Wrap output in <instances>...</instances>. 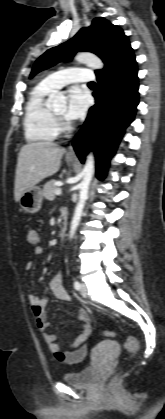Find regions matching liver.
Here are the masks:
<instances>
[{"label": "liver", "mask_w": 165, "mask_h": 419, "mask_svg": "<svg viewBox=\"0 0 165 419\" xmlns=\"http://www.w3.org/2000/svg\"><path fill=\"white\" fill-rule=\"evenodd\" d=\"M65 151V148L52 142H32L21 148L14 186L17 202L25 190L58 172Z\"/></svg>", "instance_id": "6515ba94"}]
</instances>
